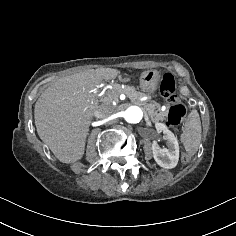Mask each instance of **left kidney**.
I'll list each match as a JSON object with an SVG mask.
<instances>
[{
  "label": "left kidney",
  "instance_id": "5707ae66",
  "mask_svg": "<svg viewBox=\"0 0 236 236\" xmlns=\"http://www.w3.org/2000/svg\"><path fill=\"white\" fill-rule=\"evenodd\" d=\"M155 128L158 132H163V139L166 140L167 148H161L157 141H153L152 151L154 159L163 168H174L179 160V144L177 138L164 123L156 122Z\"/></svg>",
  "mask_w": 236,
  "mask_h": 236
}]
</instances>
